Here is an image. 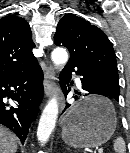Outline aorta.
I'll use <instances>...</instances> for the list:
<instances>
[{
    "label": "aorta",
    "mask_w": 130,
    "mask_h": 153,
    "mask_svg": "<svg viewBox=\"0 0 130 153\" xmlns=\"http://www.w3.org/2000/svg\"><path fill=\"white\" fill-rule=\"evenodd\" d=\"M51 59L56 67L63 66L68 61V53L64 48H56L51 53ZM58 116V101L56 97L50 99L40 117L37 128V138L40 143H46L55 127Z\"/></svg>",
    "instance_id": "obj_1"
}]
</instances>
